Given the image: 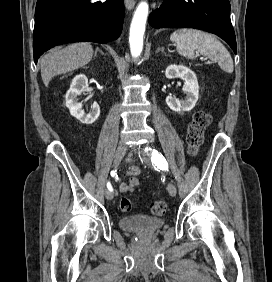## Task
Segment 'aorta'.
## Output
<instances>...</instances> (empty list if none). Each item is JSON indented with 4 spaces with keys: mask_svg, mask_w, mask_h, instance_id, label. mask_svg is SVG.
<instances>
[{
    "mask_svg": "<svg viewBox=\"0 0 272 282\" xmlns=\"http://www.w3.org/2000/svg\"><path fill=\"white\" fill-rule=\"evenodd\" d=\"M148 4L145 1L139 3L133 15L130 27L129 44L132 57H138L143 50V37L148 16Z\"/></svg>",
    "mask_w": 272,
    "mask_h": 282,
    "instance_id": "762f6f07",
    "label": "aorta"
}]
</instances>
